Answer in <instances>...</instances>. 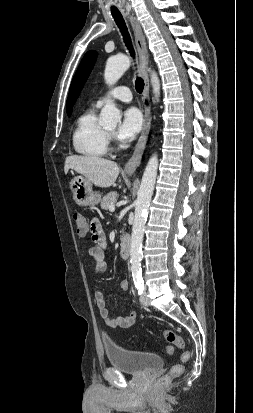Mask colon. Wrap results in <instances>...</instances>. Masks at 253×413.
Returning <instances> with one entry per match:
<instances>
[{
  "instance_id": "1",
  "label": "colon",
  "mask_w": 253,
  "mask_h": 413,
  "mask_svg": "<svg viewBox=\"0 0 253 413\" xmlns=\"http://www.w3.org/2000/svg\"><path fill=\"white\" fill-rule=\"evenodd\" d=\"M72 220L76 226L77 232L80 236L84 237L90 232V225L85 218V216L79 212H74L72 214ZM164 337L166 341L170 344L167 346L166 351L167 353H172L173 352V347H177L179 349H184L185 347V342L184 339L178 335L175 331L171 329H167L164 331ZM190 358V353L188 351H185L181 355V361L182 362H187ZM183 372V365L182 364H176L174 365L170 371L161 377L158 381L159 386H164L170 383L174 378L180 376Z\"/></svg>"
}]
</instances>
